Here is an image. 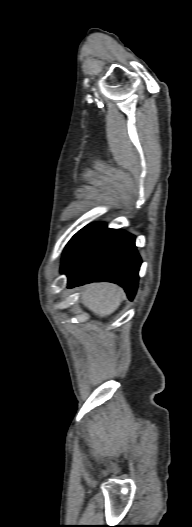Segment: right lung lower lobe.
<instances>
[{
    "label": "right lung lower lobe",
    "mask_w": 192,
    "mask_h": 527,
    "mask_svg": "<svg viewBox=\"0 0 192 527\" xmlns=\"http://www.w3.org/2000/svg\"><path fill=\"white\" fill-rule=\"evenodd\" d=\"M140 265L133 235L96 223L84 227L69 241L63 253L61 272L68 277V288L109 281L122 286L132 300Z\"/></svg>",
    "instance_id": "1"
}]
</instances>
